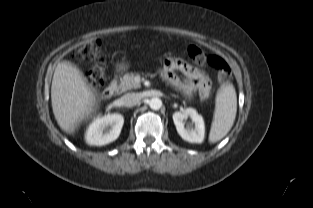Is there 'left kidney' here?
Returning a JSON list of instances; mask_svg holds the SVG:
<instances>
[{"instance_id": "1", "label": "left kidney", "mask_w": 313, "mask_h": 208, "mask_svg": "<svg viewBox=\"0 0 313 208\" xmlns=\"http://www.w3.org/2000/svg\"><path fill=\"white\" fill-rule=\"evenodd\" d=\"M190 117L193 124L185 127L187 118ZM173 121L178 134L182 139L190 143H202L205 137V124L203 117L193 108H187L182 112L173 114Z\"/></svg>"}]
</instances>
